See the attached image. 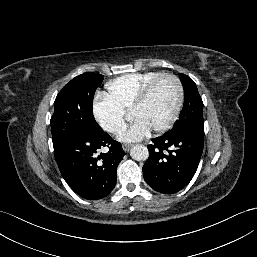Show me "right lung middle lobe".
<instances>
[{
    "mask_svg": "<svg viewBox=\"0 0 257 257\" xmlns=\"http://www.w3.org/2000/svg\"><path fill=\"white\" fill-rule=\"evenodd\" d=\"M103 75L84 73L57 95L50 120L53 146L70 137L93 138L104 133L93 116V97Z\"/></svg>",
    "mask_w": 257,
    "mask_h": 257,
    "instance_id": "obj_1",
    "label": "right lung middle lobe"
}]
</instances>
